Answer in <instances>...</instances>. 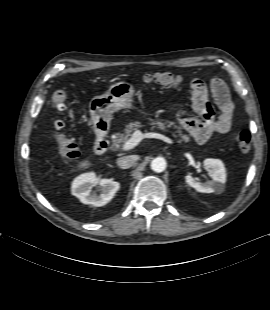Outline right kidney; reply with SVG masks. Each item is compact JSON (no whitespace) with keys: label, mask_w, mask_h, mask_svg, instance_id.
<instances>
[{"label":"right kidney","mask_w":270,"mask_h":310,"mask_svg":"<svg viewBox=\"0 0 270 310\" xmlns=\"http://www.w3.org/2000/svg\"><path fill=\"white\" fill-rule=\"evenodd\" d=\"M99 185L100 194L91 193L93 186ZM120 184L112 179H97L95 173L81 174L72 182L71 193L82 203L96 207L107 204L118 191Z\"/></svg>","instance_id":"obj_1"}]
</instances>
